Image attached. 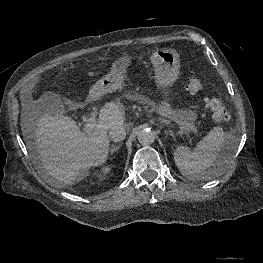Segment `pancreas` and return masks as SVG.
<instances>
[{"label": "pancreas", "mask_w": 263, "mask_h": 263, "mask_svg": "<svg viewBox=\"0 0 263 263\" xmlns=\"http://www.w3.org/2000/svg\"><path fill=\"white\" fill-rule=\"evenodd\" d=\"M127 99L132 100V101H137L138 103L145 105L146 107H150L152 109L155 108V103L151 101L148 97H145L143 95H139L137 93L135 94H125L124 95Z\"/></svg>", "instance_id": "cf45deb5"}]
</instances>
